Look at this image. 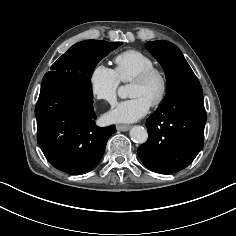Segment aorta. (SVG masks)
Listing matches in <instances>:
<instances>
[{
    "label": "aorta",
    "instance_id": "obj_1",
    "mask_svg": "<svg viewBox=\"0 0 236 236\" xmlns=\"http://www.w3.org/2000/svg\"><path fill=\"white\" fill-rule=\"evenodd\" d=\"M117 94L120 98L125 99L129 95L127 86H120L117 90ZM130 137L133 141L143 144L148 139L147 130L142 126H134L130 130Z\"/></svg>",
    "mask_w": 236,
    "mask_h": 236
}]
</instances>
